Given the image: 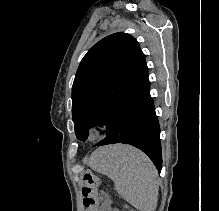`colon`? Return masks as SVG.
<instances>
[{
	"instance_id": "colon-1",
	"label": "colon",
	"mask_w": 219,
	"mask_h": 211,
	"mask_svg": "<svg viewBox=\"0 0 219 211\" xmlns=\"http://www.w3.org/2000/svg\"><path fill=\"white\" fill-rule=\"evenodd\" d=\"M85 187L83 189V193L85 196V206L87 208L86 211H97L100 203L99 197V187L101 185V180L92 171L88 170L84 173L83 176ZM135 211V210H128Z\"/></svg>"
}]
</instances>
